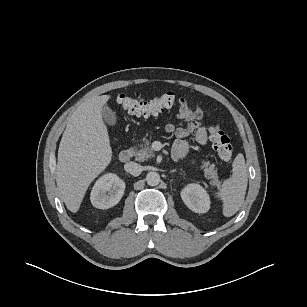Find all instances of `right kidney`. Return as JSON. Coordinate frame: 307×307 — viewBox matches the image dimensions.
<instances>
[{
	"instance_id": "obj_1",
	"label": "right kidney",
	"mask_w": 307,
	"mask_h": 307,
	"mask_svg": "<svg viewBox=\"0 0 307 307\" xmlns=\"http://www.w3.org/2000/svg\"><path fill=\"white\" fill-rule=\"evenodd\" d=\"M125 191V182L116 174L108 173L101 176L91 191V203L99 209H108L115 206Z\"/></svg>"
}]
</instances>
